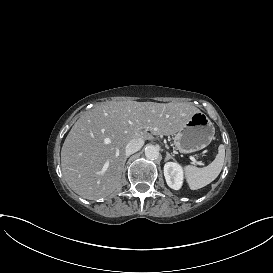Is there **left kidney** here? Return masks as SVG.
I'll list each match as a JSON object with an SVG mask.
<instances>
[{
  "label": "left kidney",
  "mask_w": 273,
  "mask_h": 273,
  "mask_svg": "<svg viewBox=\"0 0 273 273\" xmlns=\"http://www.w3.org/2000/svg\"><path fill=\"white\" fill-rule=\"evenodd\" d=\"M184 167L178 162H166L164 176L168 186L176 191L184 185Z\"/></svg>",
  "instance_id": "left-kidney-1"
}]
</instances>
